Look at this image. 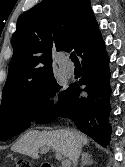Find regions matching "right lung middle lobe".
<instances>
[{
    "mask_svg": "<svg viewBox=\"0 0 125 167\" xmlns=\"http://www.w3.org/2000/svg\"><path fill=\"white\" fill-rule=\"evenodd\" d=\"M60 89L54 77L36 88L9 99H2L0 107V140L5 141L24 131L51 106L50 98ZM66 91L59 93L61 102Z\"/></svg>",
    "mask_w": 125,
    "mask_h": 167,
    "instance_id": "obj_1",
    "label": "right lung middle lobe"
}]
</instances>
